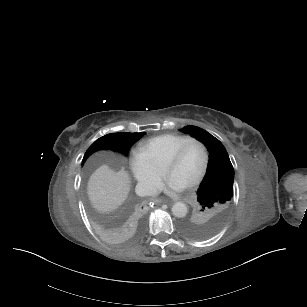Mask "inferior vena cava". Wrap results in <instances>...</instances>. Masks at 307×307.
<instances>
[{"instance_id": "602c4592", "label": "inferior vena cava", "mask_w": 307, "mask_h": 307, "mask_svg": "<svg viewBox=\"0 0 307 307\" xmlns=\"http://www.w3.org/2000/svg\"><path fill=\"white\" fill-rule=\"evenodd\" d=\"M157 193V189L154 185L146 183H138L136 185V194L138 196H154Z\"/></svg>"}]
</instances>
